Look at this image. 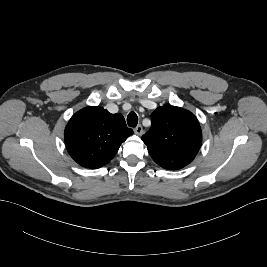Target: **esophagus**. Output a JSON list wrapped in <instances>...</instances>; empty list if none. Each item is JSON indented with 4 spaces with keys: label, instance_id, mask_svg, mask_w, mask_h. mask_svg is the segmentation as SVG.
<instances>
[{
    "label": "esophagus",
    "instance_id": "1",
    "mask_svg": "<svg viewBox=\"0 0 267 267\" xmlns=\"http://www.w3.org/2000/svg\"><path fill=\"white\" fill-rule=\"evenodd\" d=\"M135 134L137 135H142L143 134V128L141 125H138L135 129H134Z\"/></svg>",
    "mask_w": 267,
    "mask_h": 267
}]
</instances>
